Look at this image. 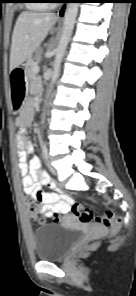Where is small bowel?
<instances>
[{
	"label": "small bowel",
	"instance_id": "obj_1",
	"mask_svg": "<svg viewBox=\"0 0 136 296\" xmlns=\"http://www.w3.org/2000/svg\"><path fill=\"white\" fill-rule=\"evenodd\" d=\"M33 111L34 104L30 100L17 117V125L20 128V134L17 137V153L22 187L25 194L43 204L41 210L43 216L49 218L55 215H64L69 211L71 197L58 189L56 183L42 169L37 157L34 156L28 161V155L34 151V145L26 137V127L32 120ZM43 185H48L51 190L44 191ZM30 217L32 220L38 219V215H31Z\"/></svg>",
	"mask_w": 136,
	"mask_h": 296
}]
</instances>
